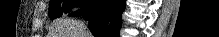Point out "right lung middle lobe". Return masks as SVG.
Listing matches in <instances>:
<instances>
[{
    "instance_id": "1",
    "label": "right lung middle lobe",
    "mask_w": 219,
    "mask_h": 37,
    "mask_svg": "<svg viewBox=\"0 0 219 37\" xmlns=\"http://www.w3.org/2000/svg\"><path fill=\"white\" fill-rule=\"evenodd\" d=\"M72 4V0H53L49 5V17L57 18L63 13H68Z\"/></svg>"
}]
</instances>
